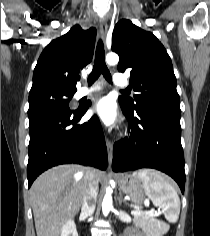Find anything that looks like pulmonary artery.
Wrapping results in <instances>:
<instances>
[{
    "label": "pulmonary artery",
    "instance_id": "1",
    "mask_svg": "<svg viewBox=\"0 0 210 236\" xmlns=\"http://www.w3.org/2000/svg\"><path fill=\"white\" fill-rule=\"evenodd\" d=\"M113 82L116 86H126L128 84L127 79L120 74H116L113 77ZM102 89L103 88L100 85L85 87V88H82L78 91V97H83V96L93 94L95 92H100V91H102Z\"/></svg>",
    "mask_w": 210,
    "mask_h": 236
}]
</instances>
